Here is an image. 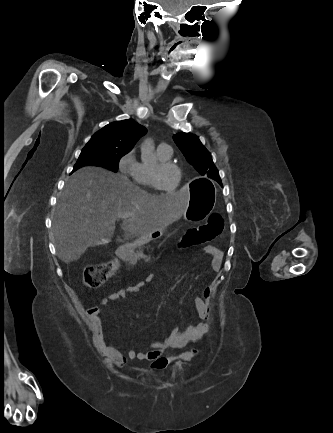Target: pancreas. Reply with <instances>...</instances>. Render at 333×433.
<instances>
[{"instance_id": "obj_1", "label": "pancreas", "mask_w": 333, "mask_h": 433, "mask_svg": "<svg viewBox=\"0 0 333 433\" xmlns=\"http://www.w3.org/2000/svg\"><path fill=\"white\" fill-rule=\"evenodd\" d=\"M150 237L139 238L134 244H128L125 246V260L131 264H135L137 260L145 258L143 254L144 245L149 243Z\"/></svg>"}]
</instances>
